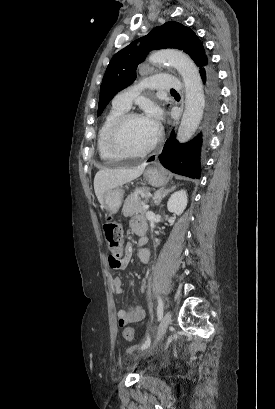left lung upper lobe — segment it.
Wrapping results in <instances>:
<instances>
[{
  "label": "left lung upper lobe",
  "instance_id": "obj_1",
  "mask_svg": "<svg viewBox=\"0 0 275 409\" xmlns=\"http://www.w3.org/2000/svg\"><path fill=\"white\" fill-rule=\"evenodd\" d=\"M137 42L141 44L136 46ZM162 48L183 50L198 67H201V70L208 64L203 44L189 27L173 21L157 26L148 35L133 41L111 59L100 87L98 116L120 90L133 83L136 79L137 66L145 60L148 52Z\"/></svg>",
  "mask_w": 275,
  "mask_h": 409
}]
</instances>
